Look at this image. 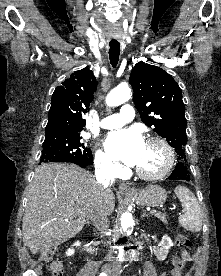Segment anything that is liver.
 <instances>
[{
    "label": "liver",
    "mask_w": 221,
    "mask_h": 276,
    "mask_svg": "<svg viewBox=\"0 0 221 276\" xmlns=\"http://www.w3.org/2000/svg\"><path fill=\"white\" fill-rule=\"evenodd\" d=\"M95 206L110 215L115 196L86 170L73 164L39 166L29 186L22 222L23 243L32 254L75 237Z\"/></svg>",
    "instance_id": "1"
}]
</instances>
